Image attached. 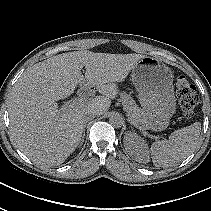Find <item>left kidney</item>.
<instances>
[{
    "mask_svg": "<svg viewBox=\"0 0 211 211\" xmlns=\"http://www.w3.org/2000/svg\"><path fill=\"white\" fill-rule=\"evenodd\" d=\"M124 146L128 154L138 162H149L148 147L145 141L137 134H125Z\"/></svg>",
    "mask_w": 211,
    "mask_h": 211,
    "instance_id": "5707ae66",
    "label": "left kidney"
}]
</instances>
